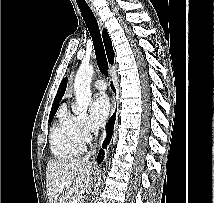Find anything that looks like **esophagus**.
<instances>
[{
	"instance_id": "34e87169",
	"label": "esophagus",
	"mask_w": 214,
	"mask_h": 203,
	"mask_svg": "<svg viewBox=\"0 0 214 203\" xmlns=\"http://www.w3.org/2000/svg\"><path fill=\"white\" fill-rule=\"evenodd\" d=\"M90 7H91V10L93 11L95 17L97 18L99 26L102 28L103 27V23H102V20H101V18L99 16L98 11L96 10V8L93 5H91ZM114 107H115V102L113 100L112 101V112L114 111ZM104 136H105V133H104Z\"/></svg>"
}]
</instances>
